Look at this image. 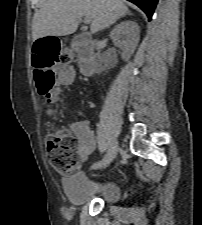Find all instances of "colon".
Returning <instances> with one entry per match:
<instances>
[{
    "label": "colon",
    "mask_w": 202,
    "mask_h": 225,
    "mask_svg": "<svg viewBox=\"0 0 202 225\" xmlns=\"http://www.w3.org/2000/svg\"><path fill=\"white\" fill-rule=\"evenodd\" d=\"M31 52L34 56L37 91L48 103H54L59 96L54 80L63 77V74L54 72L52 67L67 65L71 55L60 47V40L56 37L37 40ZM47 156L50 165L61 174L73 173L80 167L78 143L66 130L58 131L48 139Z\"/></svg>",
    "instance_id": "5ec220e1"
}]
</instances>
